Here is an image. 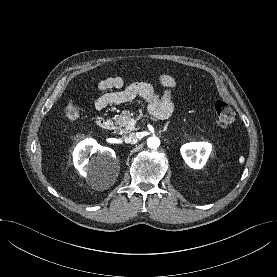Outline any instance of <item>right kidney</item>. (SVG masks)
<instances>
[{"instance_id":"ca27d5eb","label":"right kidney","mask_w":277,"mask_h":277,"mask_svg":"<svg viewBox=\"0 0 277 277\" xmlns=\"http://www.w3.org/2000/svg\"><path fill=\"white\" fill-rule=\"evenodd\" d=\"M98 153L97 160L101 164H107L108 162L116 163V156L114 150L108 147L99 145L93 139H86L80 142L73 152L74 166L79 170L80 174L87 176L93 173L97 167L91 164L87 159L88 153Z\"/></svg>"}]
</instances>
